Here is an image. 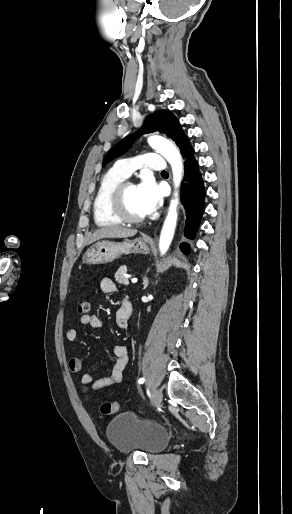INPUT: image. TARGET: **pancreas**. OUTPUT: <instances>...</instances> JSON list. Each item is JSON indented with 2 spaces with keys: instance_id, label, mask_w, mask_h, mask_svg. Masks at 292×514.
I'll list each match as a JSON object with an SVG mask.
<instances>
[{
  "instance_id": "cf45deb5",
  "label": "pancreas",
  "mask_w": 292,
  "mask_h": 514,
  "mask_svg": "<svg viewBox=\"0 0 292 514\" xmlns=\"http://www.w3.org/2000/svg\"><path fill=\"white\" fill-rule=\"evenodd\" d=\"M124 274H127V268H125V266H121V268H119L115 274L116 282H118V284H124V286H128L129 280L128 278H125Z\"/></svg>"
}]
</instances>
